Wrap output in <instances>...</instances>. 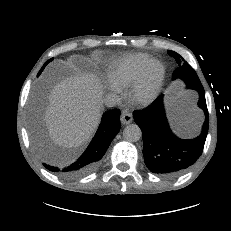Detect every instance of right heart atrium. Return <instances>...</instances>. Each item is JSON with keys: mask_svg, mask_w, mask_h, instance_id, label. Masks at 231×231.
<instances>
[{"mask_svg": "<svg viewBox=\"0 0 231 231\" xmlns=\"http://www.w3.org/2000/svg\"><path fill=\"white\" fill-rule=\"evenodd\" d=\"M108 87H109V89H111L113 91H119L120 90L113 82L109 83Z\"/></svg>", "mask_w": 231, "mask_h": 231, "instance_id": "right-heart-atrium-1", "label": "right heart atrium"}]
</instances>
